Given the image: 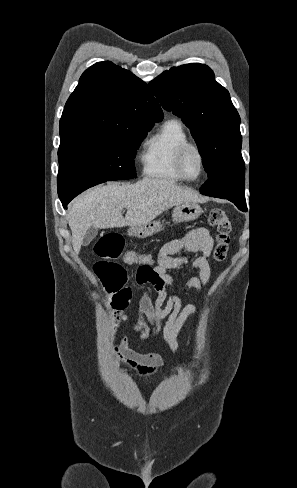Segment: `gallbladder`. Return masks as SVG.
<instances>
[{"instance_id": "bac80fb5", "label": "gallbladder", "mask_w": 297, "mask_h": 488, "mask_svg": "<svg viewBox=\"0 0 297 488\" xmlns=\"http://www.w3.org/2000/svg\"><path fill=\"white\" fill-rule=\"evenodd\" d=\"M98 234V229L95 227H90L83 239V245L87 246Z\"/></svg>"}]
</instances>
